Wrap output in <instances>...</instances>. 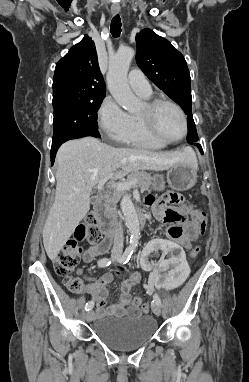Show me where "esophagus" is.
I'll return each mask as SVG.
<instances>
[{
  "label": "esophagus",
  "mask_w": 249,
  "mask_h": 382,
  "mask_svg": "<svg viewBox=\"0 0 249 382\" xmlns=\"http://www.w3.org/2000/svg\"><path fill=\"white\" fill-rule=\"evenodd\" d=\"M119 11H120V5L119 4H113L112 6H111V12H112V14H118L119 13Z\"/></svg>",
  "instance_id": "esophagus-1"
}]
</instances>
